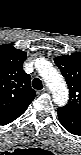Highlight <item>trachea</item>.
I'll use <instances>...</instances> for the list:
<instances>
[{"label": "trachea", "instance_id": "obj_1", "mask_svg": "<svg viewBox=\"0 0 81 155\" xmlns=\"http://www.w3.org/2000/svg\"><path fill=\"white\" fill-rule=\"evenodd\" d=\"M32 86L34 89H37V90H41L43 88V84H42V81L38 78H35L33 81H32Z\"/></svg>", "mask_w": 81, "mask_h": 155}]
</instances>
